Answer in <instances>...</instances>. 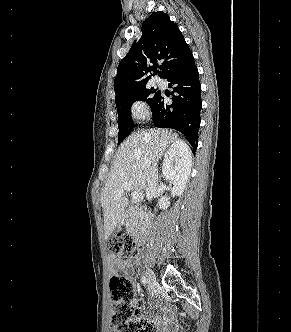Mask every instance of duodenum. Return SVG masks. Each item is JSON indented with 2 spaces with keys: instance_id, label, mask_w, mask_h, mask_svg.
Here are the masks:
<instances>
[{
  "instance_id": "410a0bca",
  "label": "duodenum",
  "mask_w": 291,
  "mask_h": 332,
  "mask_svg": "<svg viewBox=\"0 0 291 332\" xmlns=\"http://www.w3.org/2000/svg\"><path fill=\"white\" fill-rule=\"evenodd\" d=\"M142 217V223L139 229L137 230L135 234V238L138 244H143L145 243L148 233L151 228V218L145 213H141Z\"/></svg>"
}]
</instances>
